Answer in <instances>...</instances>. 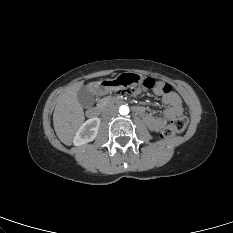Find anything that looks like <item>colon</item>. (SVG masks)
<instances>
[{
	"label": "colon",
	"mask_w": 233,
	"mask_h": 233,
	"mask_svg": "<svg viewBox=\"0 0 233 233\" xmlns=\"http://www.w3.org/2000/svg\"><path fill=\"white\" fill-rule=\"evenodd\" d=\"M160 86L163 92H168L171 90V86L166 83H161L160 81L155 80L154 78H146L143 80V86L148 89H153L156 86ZM135 92L134 89H128L125 94H133ZM188 124V120L186 117L181 116L177 117L171 121V123L164 128L162 131V137L170 138L174 136L176 133L183 132Z\"/></svg>",
	"instance_id": "obj_1"
}]
</instances>
